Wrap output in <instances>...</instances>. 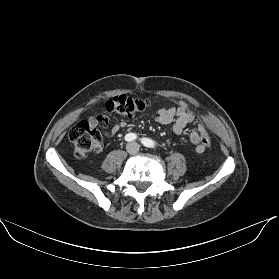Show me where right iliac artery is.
Wrapping results in <instances>:
<instances>
[{"instance_id":"82829eb1","label":"right iliac artery","mask_w":279,"mask_h":279,"mask_svg":"<svg viewBox=\"0 0 279 279\" xmlns=\"http://www.w3.org/2000/svg\"><path fill=\"white\" fill-rule=\"evenodd\" d=\"M137 138V135L134 134V133H128L125 135V140L130 142V141H133Z\"/></svg>"}]
</instances>
